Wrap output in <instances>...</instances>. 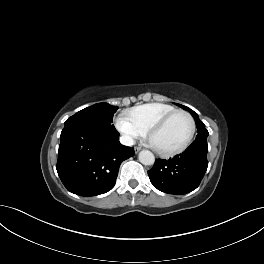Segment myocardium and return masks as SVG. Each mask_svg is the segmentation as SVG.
<instances>
[{
  "label": "myocardium",
  "mask_w": 264,
  "mask_h": 264,
  "mask_svg": "<svg viewBox=\"0 0 264 264\" xmlns=\"http://www.w3.org/2000/svg\"><path fill=\"white\" fill-rule=\"evenodd\" d=\"M180 114L185 115L191 123V131H190V134H189L187 140L181 146L174 148V149H171V150H165L164 151V150H160V149L156 148L152 144V137L157 132L162 130L173 117L180 115ZM195 134H196V122H195L194 117L188 111L177 109V110H174L171 113L167 114L166 116H164L162 119H160L157 123H155L150 128V130L148 131V139H149L150 143L152 144L154 150L159 155L164 156V157H170V156H174V155H177V154L184 152L191 145V143L195 137Z\"/></svg>",
  "instance_id": "myocardium-1"
}]
</instances>
